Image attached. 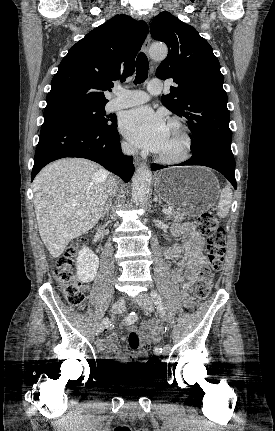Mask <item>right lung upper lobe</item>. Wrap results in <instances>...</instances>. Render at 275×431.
I'll list each match as a JSON object with an SVG mask.
<instances>
[{"instance_id": "1", "label": "right lung upper lobe", "mask_w": 275, "mask_h": 431, "mask_svg": "<svg viewBox=\"0 0 275 431\" xmlns=\"http://www.w3.org/2000/svg\"><path fill=\"white\" fill-rule=\"evenodd\" d=\"M148 33L144 21L116 15L73 45L51 82L44 113L73 107L105 105L104 91L125 81Z\"/></svg>"}]
</instances>
